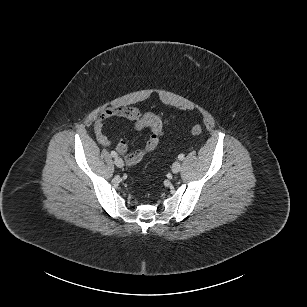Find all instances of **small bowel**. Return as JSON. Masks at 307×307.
Returning a JSON list of instances; mask_svg holds the SVG:
<instances>
[{
  "label": "small bowel",
  "mask_w": 307,
  "mask_h": 307,
  "mask_svg": "<svg viewBox=\"0 0 307 307\" xmlns=\"http://www.w3.org/2000/svg\"><path fill=\"white\" fill-rule=\"evenodd\" d=\"M114 117L125 118L134 122V130L148 128L150 136L144 147L130 152L124 142L117 145V150L122 154L126 162L134 165L140 162L147 154L152 152L158 145L164 133V127L169 124L161 116L151 112L142 114L137 107H110L102 111L94 124V133L97 141L102 145H110L111 140L104 132L108 120Z\"/></svg>",
  "instance_id": "c3829d8e"
}]
</instances>
